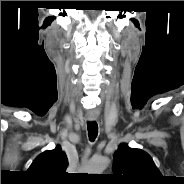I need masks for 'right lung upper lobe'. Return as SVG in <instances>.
Here are the masks:
<instances>
[{"label": "right lung upper lobe", "mask_w": 184, "mask_h": 184, "mask_svg": "<svg viewBox=\"0 0 184 184\" xmlns=\"http://www.w3.org/2000/svg\"><path fill=\"white\" fill-rule=\"evenodd\" d=\"M68 160L58 145L54 150L40 154L31 164L28 172L40 184H62L67 180L65 173Z\"/></svg>", "instance_id": "1"}]
</instances>
